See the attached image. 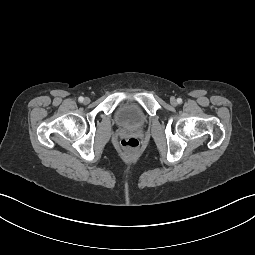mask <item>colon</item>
<instances>
[{"label": "colon", "instance_id": "colon-1", "mask_svg": "<svg viewBox=\"0 0 255 255\" xmlns=\"http://www.w3.org/2000/svg\"><path fill=\"white\" fill-rule=\"evenodd\" d=\"M140 146V142L136 137H125L121 140V147L127 153H135Z\"/></svg>", "mask_w": 255, "mask_h": 255}]
</instances>
